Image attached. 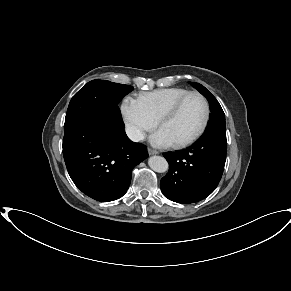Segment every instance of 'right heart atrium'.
Masks as SVG:
<instances>
[{"mask_svg":"<svg viewBox=\"0 0 291 291\" xmlns=\"http://www.w3.org/2000/svg\"><path fill=\"white\" fill-rule=\"evenodd\" d=\"M121 113L127 133L134 141L142 140L145 133L156 126V121L149 116L138 99L126 97L121 105Z\"/></svg>","mask_w":291,"mask_h":291,"instance_id":"1","label":"right heart atrium"}]
</instances>
